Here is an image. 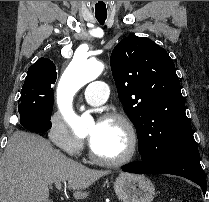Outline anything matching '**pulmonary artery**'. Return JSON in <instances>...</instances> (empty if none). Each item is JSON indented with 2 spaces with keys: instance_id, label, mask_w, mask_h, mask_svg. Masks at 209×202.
<instances>
[{
  "instance_id": "obj_1",
  "label": "pulmonary artery",
  "mask_w": 209,
  "mask_h": 202,
  "mask_svg": "<svg viewBox=\"0 0 209 202\" xmlns=\"http://www.w3.org/2000/svg\"><path fill=\"white\" fill-rule=\"evenodd\" d=\"M110 85L104 81L96 80L87 85L84 91L85 100L93 106L102 105L108 96Z\"/></svg>"
}]
</instances>
